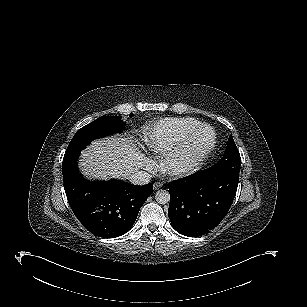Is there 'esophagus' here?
Returning <instances> with one entry per match:
<instances>
[{"instance_id":"34e87169","label":"esophagus","mask_w":307,"mask_h":307,"mask_svg":"<svg viewBox=\"0 0 307 307\" xmlns=\"http://www.w3.org/2000/svg\"><path fill=\"white\" fill-rule=\"evenodd\" d=\"M162 187V183H160V182H156V183H154V185H153V189L154 190H158V189H160Z\"/></svg>"}]
</instances>
